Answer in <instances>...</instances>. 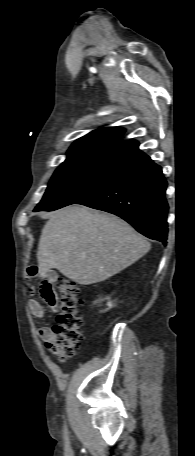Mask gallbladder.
Returning <instances> with one entry per match:
<instances>
[{
    "mask_svg": "<svg viewBox=\"0 0 195 456\" xmlns=\"http://www.w3.org/2000/svg\"><path fill=\"white\" fill-rule=\"evenodd\" d=\"M46 277H47V279H49L50 281L54 282V281H56V279H57V274H56V272H54V271H50L49 273H47Z\"/></svg>",
    "mask_w": 195,
    "mask_h": 456,
    "instance_id": "obj_1",
    "label": "gallbladder"
}]
</instances>
